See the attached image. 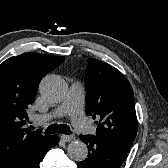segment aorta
<instances>
[{
  "label": "aorta",
  "mask_w": 168,
  "mask_h": 168,
  "mask_svg": "<svg viewBox=\"0 0 168 168\" xmlns=\"http://www.w3.org/2000/svg\"><path fill=\"white\" fill-rule=\"evenodd\" d=\"M39 92L47 102L59 103L66 96L67 85L60 76L47 75L40 82ZM67 154L74 161H83L88 155V149L84 142L76 140L68 144Z\"/></svg>",
  "instance_id": "762f6f07"
}]
</instances>
